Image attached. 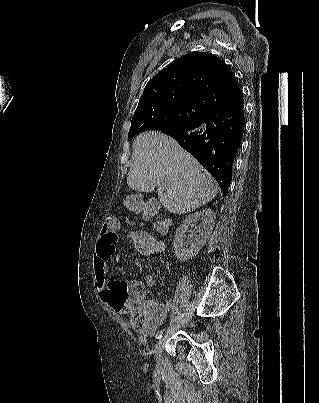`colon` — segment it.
I'll return each mask as SVG.
<instances>
[{
    "mask_svg": "<svg viewBox=\"0 0 319 403\" xmlns=\"http://www.w3.org/2000/svg\"><path fill=\"white\" fill-rule=\"evenodd\" d=\"M126 205L130 206L131 210H144L145 197L137 192H130L126 198ZM147 209L150 210V215H157V210L160 209L159 201H148ZM105 225V223H104ZM157 229L164 230L165 223L158 222ZM132 234H127V243L131 254H138L139 258H162L165 249V242L159 239L158 234H152L151 229H146L145 226H132Z\"/></svg>",
    "mask_w": 319,
    "mask_h": 403,
    "instance_id": "1",
    "label": "colon"
}]
</instances>
